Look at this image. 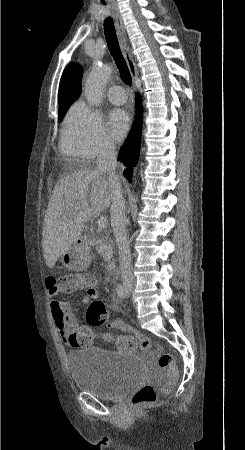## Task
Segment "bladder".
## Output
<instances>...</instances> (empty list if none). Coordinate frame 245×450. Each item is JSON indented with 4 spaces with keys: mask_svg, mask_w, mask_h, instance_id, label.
Wrapping results in <instances>:
<instances>
[{
    "mask_svg": "<svg viewBox=\"0 0 245 450\" xmlns=\"http://www.w3.org/2000/svg\"><path fill=\"white\" fill-rule=\"evenodd\" d=\"M76 389L98 399L116 400L142 385L146 366L139 355L124 354L101 347L66 353Z\"/></svg>",
    "mask_w": 245,
    "mask_h": 450,
    "instance_id": "obj_1",
    "label": "bladder"
}]
</instances>
